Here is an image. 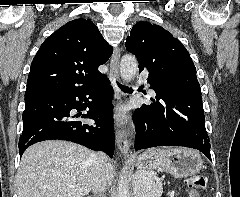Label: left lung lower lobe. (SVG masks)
<instances>
[{
  "label": "left lung lower lobe",
  "mask_w": 240,
  "mask_h": 197,
  "mask_svg": "<svg viewBox=\"0 0 240 197\" xmlns=\"http://www.w3.org/2000/svg\"><path fill=\"white\" fill-rule=\"evenodd\" d=\"M151 100L153 103L142 105L133 114L138 127L135 149L185 146L201 151L211 160L201 93L185 90Z\"/></svg>",
  "instance_id": "obj_1"
}]
</instances>
